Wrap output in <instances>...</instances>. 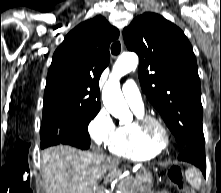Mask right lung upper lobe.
Returning a JSON list of instances; mask_svg holds the SVG:
<instances>
[{
  "label": "right lung upper lobe",
  "mask_w": 221,
  "mask_h": 193,
  "mask_svg": "<svg viewBox=\"0 0 221 193\" xmlns=\"http://www.w3.org/2000/svg\"><path fill=\"white\" fill-rule=\"evenodd\" d=\"M119 31L96 16L71 30L54 52L43 111L100 110L99 79Z\"/></svg>",
  "instance_id": "cb5924a9"
}]
</instances>
